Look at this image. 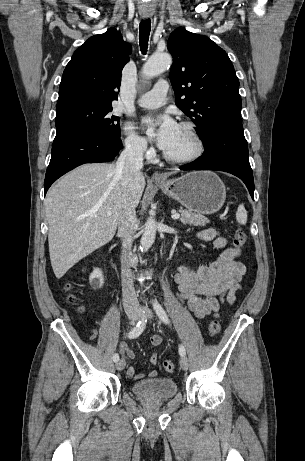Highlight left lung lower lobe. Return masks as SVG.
Wrapping results in <instances>:
<instances>
[{"label":"left lung lower lobe","instance_id":"obj_1","mask_svg":"<svg viewBox=\"0 0 305 461\" xmlns=\"http://www.w3.org/2000/svg\"><path fill=\"white\" fill-rule=\"evenodd\" d=\"M204 153L181 170H219L239 177L254 199V180L241 119L216 123L202 140Z\"/></svg>","mask_w":305,"mask_h":461}]
</instances>
